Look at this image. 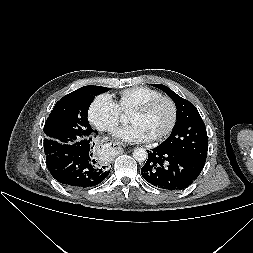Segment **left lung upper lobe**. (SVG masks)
Wrapping results in <instances>:
<instances>
[{"label": "left lung upper lobe", "instance_id": "obj_1", "mask_svg": "<svg viewBox=\"0 0 253 253\" xmlns=\"http://www.w3.org/2000/svg\"><path fill=\"white\" fill-rule=\"evenodd\" d=\"M152 85L167 93L177 108V120L172 133L160 146L187 155L195 161L205 164L208 138L205 124L196 107L167 86Z\"/></svg>", "mask_w": 253, "mask_h": 253}]
</instances>
